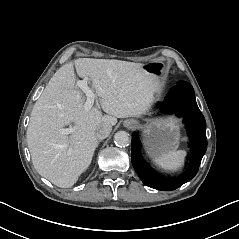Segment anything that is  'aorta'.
Wrapping results in <instances>:
<instances>
[{"mask_svg": "<svg viewBox=\"0 0 239 239\" xmlns=\"http://www.w3.org/2000/svg\"><path fill=\"white\" fill-rule=\"evenodd\" d=\"M114 141L117 146L126 147L131 143V138L126 131H118L114 135Z\"/></svg>", "mask_w": 239, "mask_h": 239, "instance_id": "obj_1", "label": "aorta"}]
</instances>
